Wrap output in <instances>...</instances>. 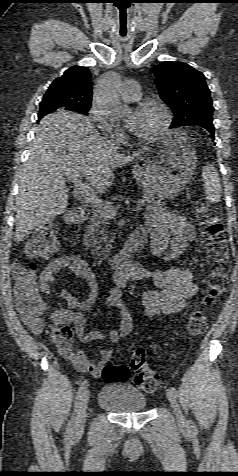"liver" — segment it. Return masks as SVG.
<instances>
[{"mask_svg":"<svg viewBox=\"0 0 238 476\" xmlns=\"http://www.w3.org/2000/svg\"><path fill=\"white\" fill-rule=\"evenodd\" d=\"M35 134L20 174L14 236L17 242L65 211L67 179L86 177L93 191L103 193L114 181L113 169L143 153L125 156L110 149L87 117L64 110L45 116Z\"/></svg>","mask_w":238,"mask_h":476,"instance_id":"obj_1","label":"liver"}]
</instances>
